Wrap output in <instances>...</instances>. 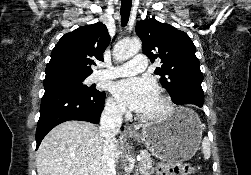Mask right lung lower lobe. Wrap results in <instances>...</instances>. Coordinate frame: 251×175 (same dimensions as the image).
<instances>
[{
    "mask_svg": "<svg viewBox=\"0 0 251 175\" xmlns=\"http://www.w3.org/2000/svg\"><path fill=\"white\" fill-rule=\"evenodd\" d=\"M41 100L40 118L36 130L38 149L44 136L56 125L69 120L97 124L105 102V92L86 93L66 85H50Z\"/></svg>",
    "mask_w": 251,
    "mask_h": 175,
    "instance_id": "obj_1",
    "label": "right lung lower lobe"
}]
</instances>
